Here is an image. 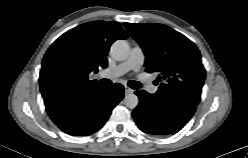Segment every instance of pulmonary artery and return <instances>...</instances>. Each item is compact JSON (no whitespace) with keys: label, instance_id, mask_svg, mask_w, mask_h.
<instances>
[{"label":"pulmonary artery","instance_id":"e3ab8cb5","mask_svg":"<svg viewBox=\"0 0 248 158\" xmlns=\"http://www.w3.org/2000/svg\"><path fill=\"white\" fill-rule=\"evenodd\" d=\"M144 59L145 56L143 50L139 46H135L134 48H132L126 60L112 68L106 69L105 71H103L102 74H108L111 77H118L131 70L138 72L142 68ZM149 91L154 93L156 91V88L152 86L149 88Z\"/></svg>","mask_w":248,"mask_h":158}]
</instances>
